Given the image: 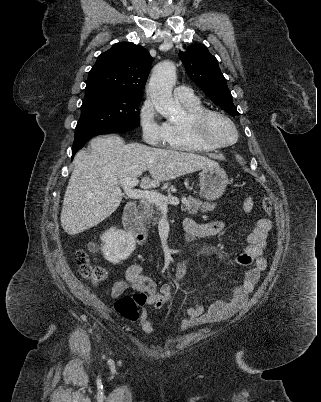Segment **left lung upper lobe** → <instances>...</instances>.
<instances>
[{
  "label": "left lung upper lobe",
  "mask_w": 321,
  "mask_h": 402,
  "mask_svg": "<svg viewBox=\"0 0 321 402\" xmlns=\"http://www.w3.org/2000/svg\"><path fill=\"white\" fill-rule=\"evenodd\" d=\"M179 57L190 78L216 105L230 114L239 115L218 61L204 45H190L186 51L179 52Z\"/></svg>",
  "instance_id": "left-lung-upper-lobe-1"
}]
</instances>
